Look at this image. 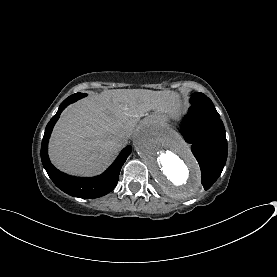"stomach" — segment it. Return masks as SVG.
Here are the masks:
<instances>
[{
  "label": "stomach",
  "mask_w": 277,
  "mask_h": 277,
  "mask_svg": "<svg viewBox=\"0 0 277 277\" xmlns=\"http://www.w3.org/2000/svg\"><path fill=\"white\" fill-rule=\"evenodd\" d=\"M157 116H158L159 118H161L162 120L177 119V118L179 117V113L176 114V115L171 116V115H169V114H167V113H160V112H157Z\"/></svg>",
  "instance_id": "1"
}]
</instances>
